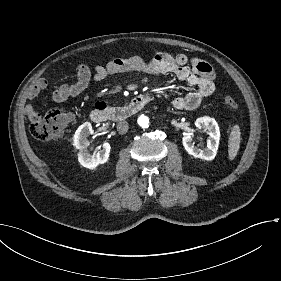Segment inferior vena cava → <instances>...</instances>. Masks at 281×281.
I'll return each mask as SVG.
<instances>
[{"label": "inferior vena cava", "instance_id": "1", "mask_svg": "<svg viewBox=\"0 0 281 281\" xmlns=\"http://www.w3.org/2000/svg\"><path fill=\"white\" fill-rule=\"evenodd\" d=\"M119 134H125L128 131L129 124L127 121H120L116 125Z\"/></svg>", "mask_w": 281, "mask_h": 281}]
</instances>
